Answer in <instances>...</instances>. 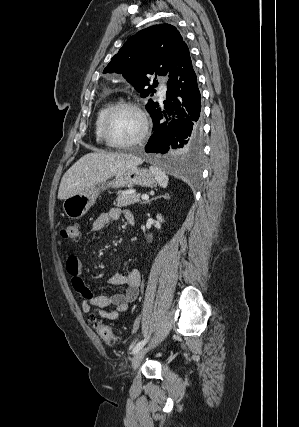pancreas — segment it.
I'll list each match as a JSON object with an SVG mask.
<instances>
[{
    "mask_svg": "<svg viewBox=\"0 0 299 427\" xmlns=\"http://www.w3.org/2000/svg\"><path fill=\"white\" fill-rule=\"evenodd\" d=\"M140 201V194L122 193L119 194L116 201L113 203L118 207H125L131 204H135Z\"/></svg>",
    "mask_w": 299,
    "mask_h": 427,
    "instance_id": "pancreas-1",
    "label": "pancreas"
}]
</instances>
